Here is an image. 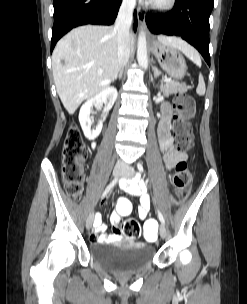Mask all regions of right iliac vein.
<instances>
[{
  "mask_svg": "<svg viewBox=\"0 0 247 304\" xmlns=\"http://www.w3.org/2000/svg\"><path fill=\"white\" fill-rule=\"evenodd\" d=\"M122 171H123L122 166L121 165H116L113 168L112 175L114 177H117V176L121 175ZM93 221H94V211H91L90 214L87 217V220H86V228L88 230H90V228L92 227Z\"/></svg>",
  "mask_w": 247,
  "mask_h": 304,
  "instance_id": "1",
  "label": "right iliac vein"
}]
</instances>
